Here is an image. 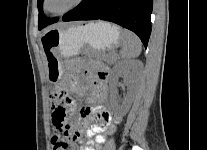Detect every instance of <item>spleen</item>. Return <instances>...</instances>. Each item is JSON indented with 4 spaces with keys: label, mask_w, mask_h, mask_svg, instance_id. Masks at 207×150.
<instances>
[{
    "label": "spleen",
    "mask_w": 207,
    "mask_h": 150,
    "mask_svg": "<svg viewBox=\"0 0 207 150\" xmlns=\"http://www.w3.org/2000/svg\"><path fill=\"white\" fill-rule=\"evenodd\" d=\"M141 50L142 45L138 36L129 30H122L119 56L123 59H133L140 55Z\"/></svg>",
    "instance_id": "3e777b00"
}]
</instances>
